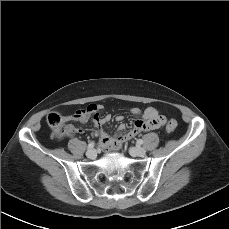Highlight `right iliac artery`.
Returning <instances> with one entry per match:
<instances>
[{
    "instance_id": "right-iliac-artery-1",
    "label": "right iliac artery",
    "mask_w": 229,
    "mask_h": 229,
    "mask_svg": "<svg viewBox=\"0 0 229 229\" xmlns=\"http://www.w3.org/2000/svg\"><path fill=\"white\" fill-rule=\"evenodd\" d=\"M95 146V143L92 141L88 144V149H91Z\"/></svg>"
}]
</instances>
